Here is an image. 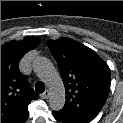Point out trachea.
<instances>
[{"mask_svg": "<svg viewBox=\"0 0 123 123\" xmlns=\"http://www.w3.org/2000/svg\"><path fill=\"white\" fill-rule=\"evenodd\" d=\"M44 90H45V86H44V84H43L42 82H37V83L35 84V91H36L37 93H43Z\"/></svg>", "mask_w": 123, "mask_h": 123, "instance_id": "trachea-1", "label": "trachea"}]
</instances>
